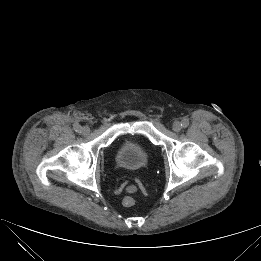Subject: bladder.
<instances>
[{"mask_svg":"<svg viewBox=\"0 0 261 261\" xmlns=\"http://www.w3.org/2000/svg\"><path fill=\"white\" fill-rule=\"evenodd\" d=\"M149 156V148L146 142L137 137H123L119 141L116 162L128 170H137L143 167Z\"/></svg>","mask_w":261,"mask_h":261,"instance_id":"obj_1","label":"bladder"}]
</instances>
